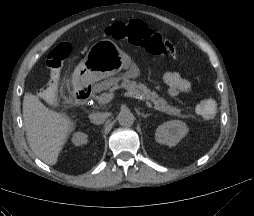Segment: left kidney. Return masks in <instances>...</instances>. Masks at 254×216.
<instances>
[{
    "mask_svg": "<svg viewBox=\"0 0 254 216\" xmlns=\"http://www.w3.org/2000/svg\"><path fill=\"white\" fill-rule=\"evenodd\" d=\"M188 128L180 120H172L160 125L155 132V139L160 144L175 146L186 134Z\"/></svg>",
    "mask_w": 254,
    "mask_h": 216,
    "instance_id": "1",
    "label": "left kidney"
}]
</instances>
